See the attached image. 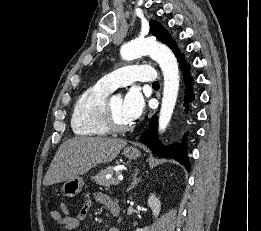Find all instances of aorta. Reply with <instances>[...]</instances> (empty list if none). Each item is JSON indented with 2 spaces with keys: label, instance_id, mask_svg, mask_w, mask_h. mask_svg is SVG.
I'll use <instances>...</instances> for the list:
<instances>
[{
  "label": "aorta",
  "instance_id": "1",
  "mask_svg": "<svg viewBox=\"0 0 261 231\" xmlns=\"http://www.w3.org/2000/svg\"><path fill=\"white\" fill-rule=\"evenodd\" d=\"M120 54L124 60H133L143 55H149L158 62L164 77L159 131L164 132L171 120L179 90V68L174 54L163 44L140 39L124 44Z\"/></svg>",
  "mask_w": 261,
  "mask_h": 231
}]
</instances>
